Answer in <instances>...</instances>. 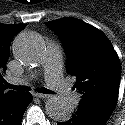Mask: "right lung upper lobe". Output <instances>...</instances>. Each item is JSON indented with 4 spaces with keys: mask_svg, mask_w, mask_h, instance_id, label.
Segmentation results:
<instances>
[{
    "mask_svg": "<svg viewBox=\"0 0 125 125\" xmlns=\"http://www.w3.org/2000/svg\"><path fill=\"white\" fill-rule=\"evenodd\" d=\"M27 24L8 25L0 23V100L14 95V91H6L7 82L3 78V73L7 69L6 63L9 59L10 44L13 37L22 31Z\"/></svg>",
    "mask_w": 125,
    "mask_h": 125,
    "instance_id": "right-lung-upper-lobe-1",
    "label": "right lung upper lobe"
}]
</instances>
